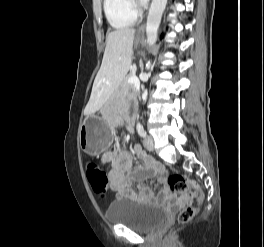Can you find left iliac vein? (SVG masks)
Instances as JSON below:
<instances>
[{
	"label": "left iliac vein",
	"instance_id": "obj_1",
	"mask_svg": "<svg viewBox=\"0 0 264 247\" xmlns=\"http://www.w3.org/2000/svg\"><path fill=\"white\" fill-rule=\"evenodd\" d=\"M143 144L148 151H152L154 149V140L150 136L144 139Z\"/></svg>",
	"mask_w": 264,
	"mask_h": 247
}]
</instances>
